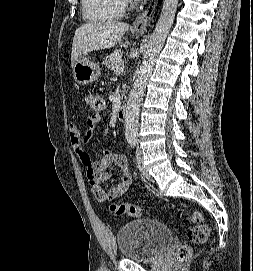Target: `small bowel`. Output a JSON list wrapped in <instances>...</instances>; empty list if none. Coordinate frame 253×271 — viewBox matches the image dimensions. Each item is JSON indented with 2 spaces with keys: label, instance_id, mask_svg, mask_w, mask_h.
I'll list each match as a JSON object with an SVG mask.
<instances>
[{
  "label": "small bowel",
  "instance_id": "small-bowel-1",
  "mask_svg": "<svg viewBox=\"0 0 253 271\" xmlns=\"http://www.w3.org/2000/svg\"><path fill=\"white\" fill-rule=\"evenodd\" d=\"M99 122V114L88 116L85 119L84 136H81L77 125L71 123L68 126V136L73 153L86 167V175L94 197L103 203L122 196L130 187L131 175L123 155L106 151L100 159L93 160L84 150L83 144L91 140L97 133ZM112 168L119 171V180L115 186L105 190L103 183L110 178L109 171Z\"/></svg>",
  "mask_w": 253,
  "mask_h": 271
}]
</instances>
